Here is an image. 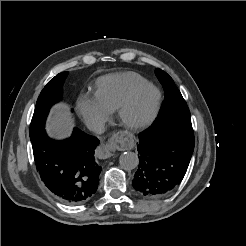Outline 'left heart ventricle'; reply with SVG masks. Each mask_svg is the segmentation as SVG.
<instances>
[{
  "mask_svg": "<svg viewBox=\"0 0 246 246\" xmlns=\"http://www.w3.org/2000/svg\"><path fill=\"white\" fill-rule=\"evenodd\" d=\"M152 97L153 94L149 91L138 96L127 111L128 119L136 121L144 117L150 108Z\"/></svg>",
  "mask_w": 246,
  "mask_h": 246,
  "instance_id": "left-heart-ventricle-1",
  "label": "left heart ventricle"
}]
</instances>
